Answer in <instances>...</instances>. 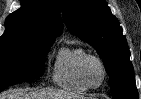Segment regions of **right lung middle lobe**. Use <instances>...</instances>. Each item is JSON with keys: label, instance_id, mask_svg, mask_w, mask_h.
<instances>
[{"label": "right lung middle lobe", "instance_id": "dd1d6c3e", "mask_svg": "<svg viewBox=\"0 0 141 99\" xmlns=\"http://www.w3.org/2000/svg\"><path fill=\"white\" fill-rule=\"evenodd\" d=\"M52 44L26 38H0V92L10 85L41 77Z\"/></svg>", "mask_w": 141, "mask_h": 99}]
</instances>
